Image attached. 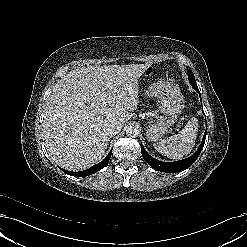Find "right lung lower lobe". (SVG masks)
Returning <instances> with one entry per match:
<instances>
[{
    "mask_svg": "<svg viewBox=\"0 0 247 247\" xmlns=\"http://www.w3.org/2000/svg\"><path fill=\"white\" fill-rule=\"evenodd\" d=\"M112 154V150L109 152V154L106 156V158L101 161L98 164H95L94 166L90 167L89 169H86L84 171H80V172H72V171H67L61 168V170L63 172H65L68 175H72V176H88L91 175L93 173H96L97 171L101 170L102 168L105 167V165L108 163V161L110 160Z\"/></svg>",
    "mask_w": 247,
    "mask_h": 247,
    "instance_id": "right-lung-lower-lobe-1",
    "label": "right lung lower lobe"
}]
</instances>
